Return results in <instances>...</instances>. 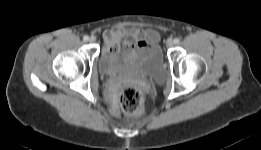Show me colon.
<instances>
[{
  "mask_svg": "<svg viewBox=\"0 0 261 150\" xmlns=\"http://www.w3.org/2000/svg\"><path fill=\"white\" fill-rule=\"evenodd\" d=\"M120 106L126 115L139 116L144 112V97L136 85L124 87L119 97Z\"/></svg>",
  "mask_w": 261,
  "mask_h": 150,
  "instance_id": "5ec220e1",
  "label": "colon"
}]
</instances>
